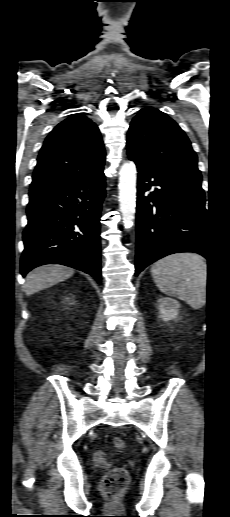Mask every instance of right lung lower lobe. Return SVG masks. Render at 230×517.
<instances>
[{
  "label": "right lung lower lobe",
  "instance_id": "obj_1",
  "mask_svg": "<svg viewBox=\"0 0 230 517\" xmlns=\"http://www.w3.org/2000/svg\"><path fill=\"white\" fill-rule=\"evenodd\" d=\"M103 169L80 180L29 192L21 274L43 264L84 271L101 283Z\"/></svg>",
  "mask_w": 230,
  "mask_h": 517
}]
</instances>
